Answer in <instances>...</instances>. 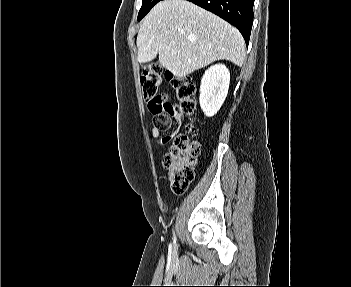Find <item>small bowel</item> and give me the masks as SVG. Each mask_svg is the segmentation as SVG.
<instances>
[{"label":"small bowel","instance_id":"c3829d8e","mask_svg":"<svg viewBox=\"0 0 351 287\" xmlns=\"http://www.w3.org/2000/svg\"><path fill=\"white\" fill-rule=\"evenodd\" d=\"M174 121H175L177 124H180L181 121H182L181 116H179V115L175 116V117H174ZM150 134H151L153 137H159V136L161 135V132H160L158 129L152 127V128L150 129ZM170 139H171V136H168V135H167V136H164L162 140H163V142H168ZM164 145H165V144H164Z\"/></svg>","mask_w":351,"mask_h":287}]
</instances>
